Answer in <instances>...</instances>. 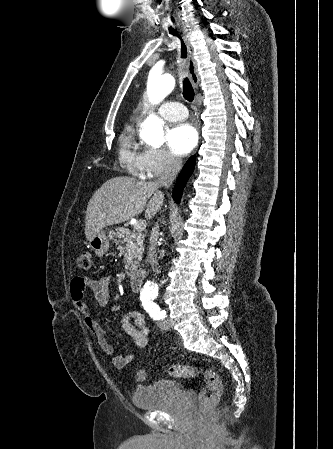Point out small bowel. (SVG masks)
Wrapping results in <instances>:
<instances>
[{
	"mask_svg": "<svg viewBox=\"0 0 333 449\" xmlns=\"http://www.w3.org/2000/svg\"><path fill=\"white\" fill-rule=\"evenodd\" d=\"M89 288L97 302L101 305L108 303L110 298V278L102 276L91 278L88 276L75 277L70 285V294L76 310L81 315L84 325L95 337L98 346L104 354L112 359L116 368H124L132 362L134 355L132 353L117 355L114 347L108 342L105 331L98 323L93 311L87 303L85 292ZM124 331L133 339L135 345L144 349L148 346V328L144 316L139 312L127 314L122 320Z\"/></svg>",
	"mask_w": 333,
	"mask_h": 449,
	"instance_id": "1",
	"label": "small bowel"
}]
</instances>
